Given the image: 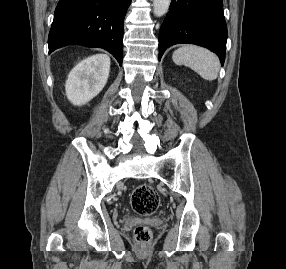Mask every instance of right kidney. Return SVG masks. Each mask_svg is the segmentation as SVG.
Returning a JSON list of instances; mask_svg holds the SVG:
<instances>
[{"mask_svg": "<svg viewBox=\"0 0 286 269\" xmlns=\"http://www.w3.org/2000/svg\"><path fill=\"white\" fill-rule=\"evenodd\" d=\"M110 71V58L92 55L78 63L65 84L66 96L74 105H84L104 88Z\"/></svg>", "mask_w": 286, "mask_h": 269, "instance_id": "ca27d5eb", "label": "right kidney"}]
</instances>
